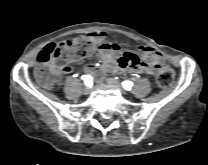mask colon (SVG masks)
I'll use <instances>...</instances> for the list:
<instances>
[{"mask_svg":"<svg viewBox=\"0 0 208 165\" xmlns=\"http://www.w3.org/2000/svg\"><path fill=\"white\" fill-rule=\"evenodd\" d=\"M95 49L94 40L86 36L63 39L49 44L37 55L36 77L40 83L51 87L58 79L59 70L70 69L72 63L91 55ZM131 57V53H126L124 59ZM156 79L160 87L168 88L174 83V71L170 67H164L159 71Z\"/></svg>","mask_w":208,"mask_h":165,"instance_id":"5ec220e1","label":"colon"}]
</instances>
